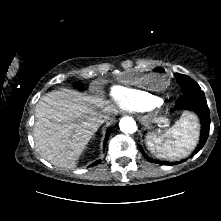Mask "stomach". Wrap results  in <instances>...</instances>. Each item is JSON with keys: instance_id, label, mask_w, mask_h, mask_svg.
Masks as SVG:
<instances>
[{"instance_id": "obj_1", "label": "stomach", "mask_w": 221, "mask_h": 221, "mask_svg": "<svg viewBox=\"0 0 221 221\" xmlns=\"http://www.w3.org/2000/svg\"><path fill=\"white\" fill-rule=\"evenodd\" d=\"M168 69L163 64H155L151 69H129L124 79L129 84L140 85L148 90L164 91L169 86Z\"/></svg>"}]
</instances>
